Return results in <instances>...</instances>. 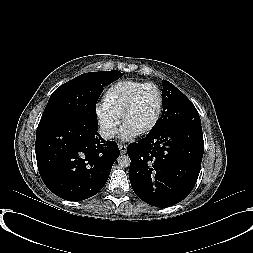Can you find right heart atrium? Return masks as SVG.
<instances>
[{
	"label": "right heart atrium",
	"instance_id": "obj_1",
	"mask_svg": "<svg viewBox=\"0 0 253 253\" xmlns=\"http://www.w3.org/2000/svg\"><path fill=\"white\" fill-rule=\"evenodd\" d=\"M95 118L102 137L105 139L112 138L120 122L119 116L100 104L95 109Z\"/></svg>",
	"mask_w": 253,
	"mask_h": 253
}]
</instances>
